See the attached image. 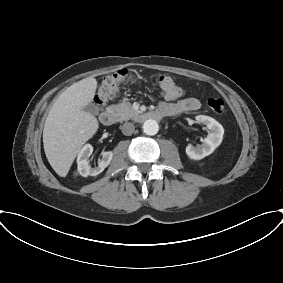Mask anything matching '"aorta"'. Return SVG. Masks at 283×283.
<instances>
[{"label":"aorta","mask_w":283,"mask_h":283,"mask_svg":"<svg viewBox=\"0 0 283 283\" xmlns=\"http://www.w3.org/2000/svg\"><path fill=\"white\" fill-rule=\"evenodd\" d=\"M143 131L150 136L156 135L159 131V125L157 121L148 119L143 124Z\"/></svg>","instance_id":"762f6f07"}]
</instances>
